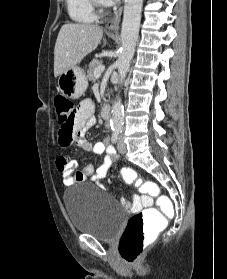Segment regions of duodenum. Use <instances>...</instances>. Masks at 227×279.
<instances>
[{
  "label": "duodenum",
  "instance_id": "duodenum-1",
  "mask_svg": "<svg viewBox=\"0 0 227 279\" xmlns=\"http://www.w3.org/2000/svg\"><path fill=\"white\" fill-rule=\"evenodd\" d=\"M110 115H111V107L110 106H104L103 109H102V116L105 118V119H109L110 118Z\"/></svg>",
  "mask_w": 227,
  "mask_h": 279
}]
</instances>
